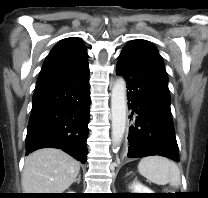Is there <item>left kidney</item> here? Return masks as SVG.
<instances>
[{
    "label": "left kidney",
    "instance_id": "obj_1",
    "mask_svg": "<svg viewBox=\"0 0 208 198\" xmlns=\"http://www.w3.org/2000/svg\"><path fill=\"white\" fill-rule=\"evenodd\" d=\"M130 188L134 191V193H154L151 189L139 182L133 183Z\"/></svg>",
    "mask_w": 208,
    "mask_h": 198
}]
</instances>
